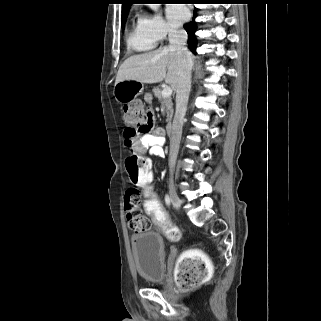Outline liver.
I'll return each mask as SVG.
<instances>
[{"label": "liver", "mask_w": 321, "mask_h": 321, "mask_svg": "<svg viewBox=\"0 0 321 321\" xmlns=\"http://www.w3.org/2000/svg\"><path fill=\"white\" fill-rule=\"evenodd\" d=\"M193 60V56L191 54ZM180 76L179 57L176 50L160 47L149 53L134 55L120 66L115 84L124 80L154 84L165 80L176 90Z\"/></svg>", "instance_id": "liver-1"}]
</instances>
